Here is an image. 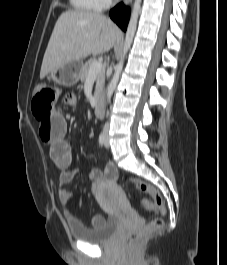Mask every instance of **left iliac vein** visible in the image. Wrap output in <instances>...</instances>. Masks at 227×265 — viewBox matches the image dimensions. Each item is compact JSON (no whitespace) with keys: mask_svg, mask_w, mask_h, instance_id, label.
<instances>
[{"mask_svg":"<svg viewBox=\"0 0 227 265\" xmlns=\"http://www.w3.org/2000/svg\"><path fill=\"white\" fill-rule=\"evenodd\" d=\"M105 147H109V136H108V133L106 132L105 134Z\"/></svg>","mask_w":227,"mask_h":265,"instance_id":"left-iliac-vein-1","label":"left iliac vein"}]
</instances>
